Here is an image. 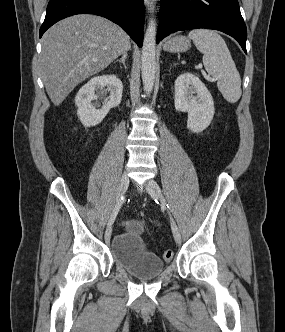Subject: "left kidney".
I'll return each mask as SVG.
<instances>
[{
  "label": "left kidney",
  "instance_id": "obj_1",
  "mask_svg": "<svg viewBox=\"0 0 285 332\" xmlns=\"http://www.w3.org/2000/svg\"><path fill=\"white\" fill-rule=\"evenodd\" d=\"M175 109L188 113L187 128L194 133L205 130L214 116V102L207 87L194 74L185 72L175 81Z\"/></svg>",
  "mask_w": 285,
  "mask_h": 332
}]
</instances>
